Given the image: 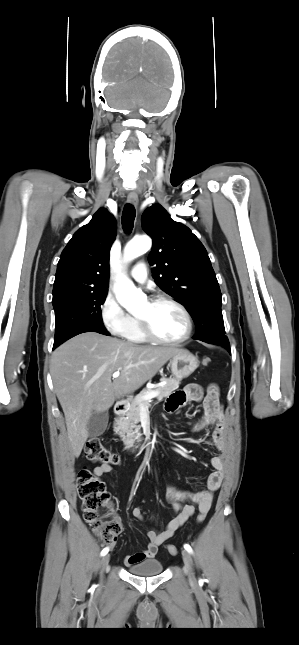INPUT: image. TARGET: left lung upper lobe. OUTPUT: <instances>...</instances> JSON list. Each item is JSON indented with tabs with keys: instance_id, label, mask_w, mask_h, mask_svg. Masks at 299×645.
Returning <instances> with one entry per match:
<instances>
[{
	"instance_id": "left-lung-upper-lobe-1",
	"label": "left lung upper lobe",
	"mask_w": 299,
	"mask_h": 645,
	"mask_svg": "<svg viewBox=\"0 0 299 645\" xmlns=\"http://www.w3.org/2000/svg\"><path fill=\"white\" fill-rule=\"evenodd\" d=\"M141 223L153 239L148 261L156 283L188 310L196 324L194 339L226 338L221 291L202 243L159 204L145 210Z\"/></svg>"
}]
</instances>
